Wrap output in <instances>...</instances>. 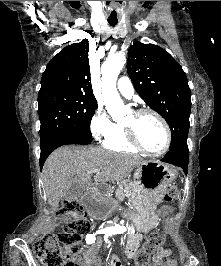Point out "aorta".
<instances>
[{"mask_svg":"<svg viewBox=\"0 0 221 266\" xmlns=\"http://www.w3.org/2000/svg\"><path fill=\"white\" fill-rule=\"evenodd\" d=\"M126 63L123 52L110 55L102 65V95L105 107L113 119H119L126 112L125 106L116 88V81L120 71ZM114 231L124 230L121 225L111 227Z\"/></svg>","mask_w":221,"mask_h":266,"instance_id":"aorta-1","label":"aorta"}]
</instances>
